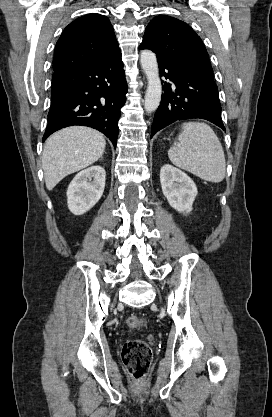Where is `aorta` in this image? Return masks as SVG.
Wrapping results in <instances>:
<instances>
[{"label": "aorta", "instance_id": "1", "mask_svg": "<svg viewBox=\"0 0 272 417\" xmlns=\"http://www.w3.org/2000/svg\"><path fill=\"white\" fill-rule=\"evenodd\" d=\"M140 62L148 80L144 108L147 113H151L158 108L162 94V85L155 53L150 50H142Z\"/></svg>", "mask_w": 272, "mask_h": 417}]
</instances>
